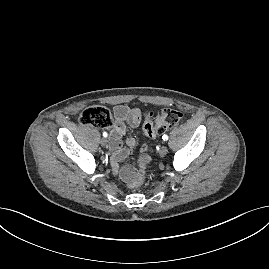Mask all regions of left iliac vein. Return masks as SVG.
<instances>
[{
  "mask_svg": "<svg viewBox=\"0 0 269 269\" xmlns=\"http://www.w3.org/2000/svg\"><path fill=\"white\" fill-rule=\"evenodd\" d=\"M167 152H168V149H167L166 146H162V147H160V149H159V155H160L161 157H164V156L167 154Z\"/></svg>",
  "mask_w": 269,
  "mask_h": 269,
  "instance_id": "obj_1",
  "label": "left iliac vein"
}]
</instances>
